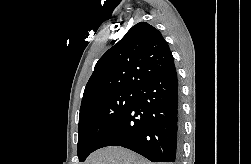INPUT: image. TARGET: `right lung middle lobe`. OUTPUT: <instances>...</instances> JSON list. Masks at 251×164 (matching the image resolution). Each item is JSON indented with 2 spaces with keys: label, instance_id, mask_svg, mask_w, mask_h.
Wrapping results in <instances>:
<instances>
[{
  "label": "right lung middle lobe",
  "instance_id": "right-lung-middle-lobe-1",
  "mask_svg": "<svg viewBox=\"0 0 251 164\" xmlns=\"http://www.w3.org/2000/svg\"><path fill=\"white\" fill-rule=\"evenodd\" d=\"M137 89L107 93L82 105L78 126V157L84 162L102 137L130 109L137 99Z\"/></svg>",
  "mask_w": 251,
  "mask_h": 164
}]
</instances>
